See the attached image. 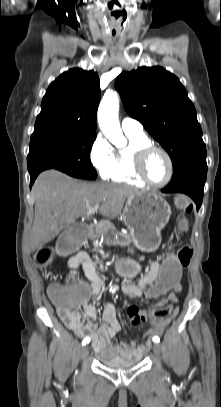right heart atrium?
<instances>
[{"label": "right heart atrium", "mask_w": 221, "mask_h": 407, "mask_svg": "<svg viewBox=\"0 0 221 407\" xmlns=\"http://www.w3.org/2000/svg\"><path fill=\"white\" fill-rule=\"evenodd\" d=\"M114 159L115 151L112 145L101 134L97 135L90 149V161L101 178H110Z\"/></svg>", "instance_id": "right-heart-atrium-1"}]
</instances>
